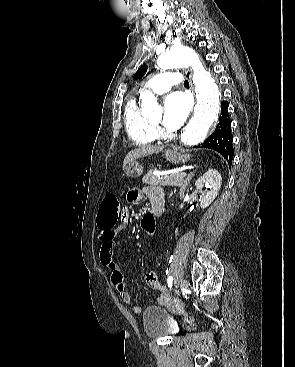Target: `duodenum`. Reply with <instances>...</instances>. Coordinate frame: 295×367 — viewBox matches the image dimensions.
<instances>
[{
	"label": "duodenum",
	"mask_w": 295,
	"mask_h": 367,
	"mask_svg": "<svg viewBox=\"0 0 295 367\" xmlns=\"http://www.w3.org/2000/svg\"><path fill=\"white\" fill-rule=\"evenodd\" d=\"M164 209V202L161 200H154L151 202L150 214L153 217H158L162 214Z\"/></svg>",
	"instance_id": "obj_1"
}]
</instances>
